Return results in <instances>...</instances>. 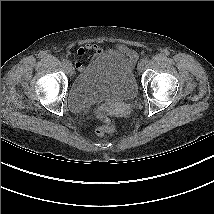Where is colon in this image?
Masks as SVG:
<instances>
[{"label": "colon", "instance_id": "colon-1", "mask_svg": "<svg viewBox=\"0 0 214 214\" xmlns=\"http://www.w3.org/2000/svg\"><path fill=\"white\" fill-rule=\"evenodd\" d=\"M116 123L112 116L105 115L102 117V125L96 129V134L104 137L115 130Z\"/></svg>", "mask_w": 214, "mask_h": 214}]
</instances>
